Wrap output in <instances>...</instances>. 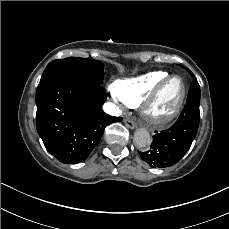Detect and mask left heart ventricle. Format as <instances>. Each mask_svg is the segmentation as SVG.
Segmentation results:
<instances>
[{"mask_svg": "<svg viewBox=\"0 0 229 229\" xmlns=\"http://www.w3.org/2000/svg\"><path fill=\"white\" fill-rule=\"evenodd\" d=\"M184 87L181 80L176 79L171 84L164 87L159 95L150 104V113L157 118L163 117L172 112L181 101Z\"/></svg>", "mask_w": 229, "mask_h": 229, "instance_id": "left-heart-ventricle-1", "label": "left heart ventricle"}]
</instances>
